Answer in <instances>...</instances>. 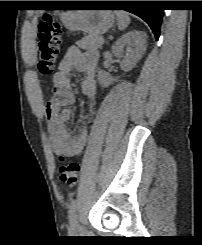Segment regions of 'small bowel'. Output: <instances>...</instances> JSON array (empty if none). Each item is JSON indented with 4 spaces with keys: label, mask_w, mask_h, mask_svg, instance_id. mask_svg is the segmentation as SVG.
<instances>
[{
    "label": "small bowel",
    "mask_w": 202,
    "mask_h": 245,
    "mask_svg": "<svg viewBox=\"0 0 202 245\" xmlns=\"http://www.w3.org/2000/svg\"><path fill=\"white\" fill-rule=\"evenodd\" d=\"M96 66L95 54L82 52L79 48L72 46L66 51L58 72L53 76L55 97L46 103L45 116L49 124L50 145L58 156H76L84 148L88 126L83 125L77 133H71L67 126L72 118V111L66 106L75 101L70 75L74 71L85 74L80 89L88 100L87 118L89 119L94 111L97 96Z\"/></svg>",
    "instance_id": "1"
}]
</instances>
